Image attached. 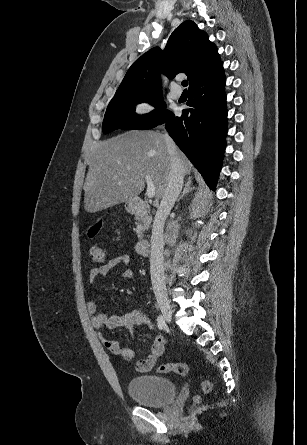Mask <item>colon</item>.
<instances>
[{"label":"colon","instance_id":"1","mask_svg":"<svg viewBox=\"0 0 307 445\" xmlns=\"http://www.w3.org/2000/svg\"><path fill=\"white\" fill-rule=\"evenodd\" d=\"M102 228V222L95 223L89 230L90 236H95ZM90 256L93 263L97 267H102L105 265L107 260V250L98 245H94L90 248ZM189 371L188 365L186 363H168L161 364L158 367V372L160 373H174L178 375H186ZM201 390L203 393H208L212 389V384L209 380L205 378H200Z\"/></svg>","mask_w":307,"mask_h":445}]
</instances>
